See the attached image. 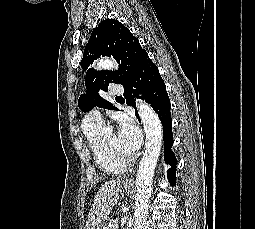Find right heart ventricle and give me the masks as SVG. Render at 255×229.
Masks as SVG:
<instances>
[{
	"label": "right heart ventricle",
	"instance_id": "right-heart-ventricle-1",
	"mask_svg": "<svg viewBox=\"0 0 255 229\" xmlns=\"http://www.w3.org/2000/svg\"><path fill=\"white\" fill-rule=\"evenodd\" d=\"M83 133L85 135L89 150L97 167L109 176L121 175L126 166L114 160L105 150L103 141L100 138L101 126H83Z\"/></svg>",
	"mask_w": 255,
	"mask_h": 229
}]
</instances>
